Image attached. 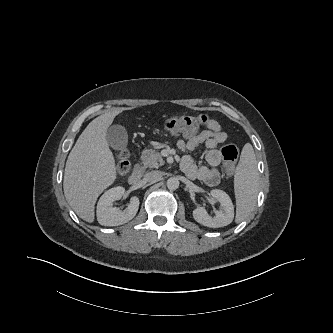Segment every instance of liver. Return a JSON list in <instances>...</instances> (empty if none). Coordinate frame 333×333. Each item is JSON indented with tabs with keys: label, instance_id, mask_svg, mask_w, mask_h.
<instances>
[{
	"label": "liver",
	"instance_id": "1",
	"mask_svg": "<svg viewBox=\"0 0 333 333\" xmlns=\"http://www.w3.org/2000/svg\"><path fill=\"white\" fill-rule=\"evenodd\" d=\"M124 109L115 108L92 120L79 136L66 161L64 195L75 213L86 222L94 221L98 196L116 179L114 156L106 133Z\"/></svg>",
	"mask_w": 333,
	"mask_h": 333
}]
</instances>
